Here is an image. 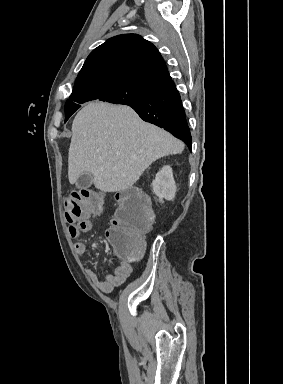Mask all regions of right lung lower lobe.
<instances>
[{
	"label": "right lung lower lobe",
	"mask_w": 283,
	"mask_h": 384,
	"mask_svg": "<svg viewBox=\"0 0 283 384\" xmlns=\"http://www.w3.org/2000/svg\"><path fill=\"white\" fill-rule=\"evenodd\" d=\"M126 105L132 107L144 121L155 124L184 141L191 150L192 138L185 111L172 79L153 90L147 100Z\"/></svg>",
	"instance_id": "1"
}]
</instances>
